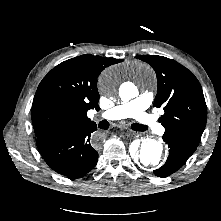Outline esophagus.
Returning a JSON list of instances; mask_svg holds the SVG:
<instances>
[{
    "instance_id": "1",
    "label": "esophagus",
    "mask_w": 221,
    "mask_h": 221,
    "mask_svg": "<svg viewBox=\"0 0 221 221\" xmlns=\"http://www.w3.org/2000/svg\"><path fill=\"white\" fill-rule=\"evenodd\" d=\"M134 135H136L135 132L128 131V130L126 131V136L130 137V136H134Z\"/></svg>"
}]
</instances>
